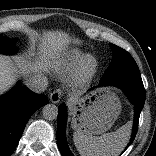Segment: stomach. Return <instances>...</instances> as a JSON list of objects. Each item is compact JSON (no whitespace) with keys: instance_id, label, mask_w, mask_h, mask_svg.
I'll return each mask as SVG.
<instances>
[{"instance_id":"1","label":"stomach","mask_w":156,"mask_h":156,"mask_svg":"<svg viewBox=\"0 0 156 156\" xmlns=\"http://www.w3.org/2000/svg\"><path fill=\"white\" fill-rule=\"evenodd\" d=\"M100 102L95 101L92 105L81 109L76 105L71 106L72 127L84 128L92 134H100L110 129L117 115L114 114L113 107L102 106Z\"/></svg>"}]
</instances>
